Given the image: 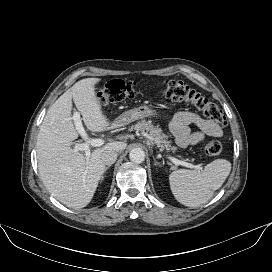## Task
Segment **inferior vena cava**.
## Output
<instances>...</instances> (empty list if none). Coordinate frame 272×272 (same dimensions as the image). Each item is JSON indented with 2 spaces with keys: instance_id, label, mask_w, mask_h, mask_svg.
Listing matches in <instances>:
<instances>
[{
  "instance_id": "1",
  "label": "inferior vena cava",
  "mask_w": 272,
  "mask_h": 272,
  "mask_svg": "<svg viewBox=\"0 0 272 272\" xmlns=\"http://www.w3.org/2000/svg\"><path fill=\"white\" fill-rule=\"evenodd\" d=\"M117 159V152L113 150H105L101 155V160L105 165H112Z\"/></svg>"
}]
</instances>
